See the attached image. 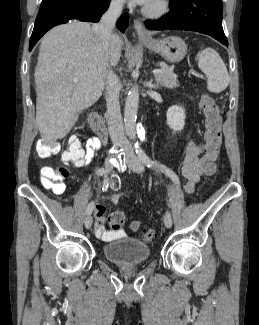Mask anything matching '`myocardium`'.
<instances>
[{"instance_id":"f54148a6","label":"myocardium","mask_w":259,"mask_h":325,"mask_svg":"<svg viewBox=\"0 0 259 325\" xmlns=\"http://www.w3.org/2000/svg\"><path fill=\"white\" fill-rule=\"evenodd\" d=\"M170 10L169 0H153L143 9V13L150 18H161Z\"/></svg>"}]
</instances>
